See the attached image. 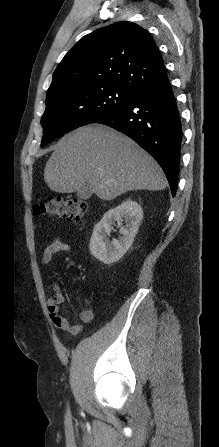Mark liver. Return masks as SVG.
Returning <instances> with one entry per match:
<instances>
[{"label":"liver","instance_id":"obj_1","mask_svg":"<svg viewBox=\"0 0 219 447\" xmlns=\"http://www.w3.org/2000/svg\"><path fill=\"white\" fill-rule=\"evenodd\" d=\"M50 190L72 193L88 185L102 200L127 191L164 190L167 179L158 163L132 139L104 125L66 134L46 163Z\"/></svg>","mask_w":219,"mask_h":447}]
</instances>
